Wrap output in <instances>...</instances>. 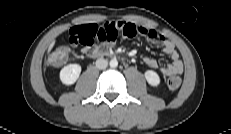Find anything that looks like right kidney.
<instances>
[{"instance_id": "1", "label": "right kidney", "mask_w": 231, "mask_h": 134, "mask_svg": "<svg viewBox=\"0 0 231 134\" xmlns=\"http://www.w3.org/2000/svg\"><path fill=\"white\" fill-rule=\"evenodd\" d=\"M81 73V66L79 64H69L60 71V80L65 85L74 84Z\"/></svg>"}]
</instances>
